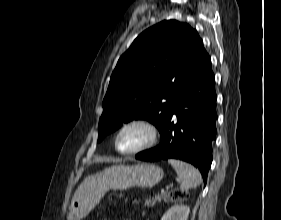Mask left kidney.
<instances>
[{
	"label": "left kidney",
	"instance_id": "5707ae66",
	"mask_svg": "<svg viewBox=\"0 0 281 220\" xmlns=\"http://www.w3.org/2000/svg\"><path fill=\"white\" fill-rule=\"evenodd\" d=\"M190 208L186 205H174L162 216L161 220H187Z\"/></svg>",
	"mask_w": 281,
	"mask_h": 220
}]
</instances>
